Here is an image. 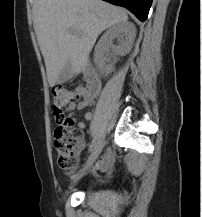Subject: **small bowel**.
Returning <instances> with one entry per match:
<instances>
[{
  "instance_id": "small-bowel-1",
  "label": "small bowel",
  "mask_w": 202,
  "mask_h": 217,
  "mask_svg": "<svg viewBox=\"0 0 202 217\" xmlns=\"http://www.w3.org/2000/svg\"><path fill=\"white\" fill-rule=\"evenodd\" d=\"M76 93L80 97V101H78L76 104L72 105L69 108V111L73 110H83L89 106H91L94 102V99L96 98L97 94L90 95L88 94L86 87L84 86H79L76 88ZM71 118V122L73 125H75L77 128L83 129L85 127L84 122H76V120L73 117ZM85 120H91L92 119V113L87 112L84 115ZM116 160V155L114 153H109L103 158L99 160V162L96 165V169L101 170V171H108L113 163Z\"/></svg>"
}]
</instances>
